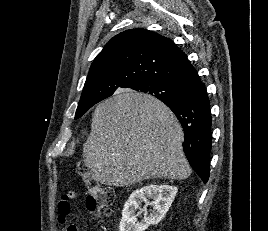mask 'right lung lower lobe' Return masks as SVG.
Here are the masks:
<instances>
[{
  "mask_svg": "<svg viewBox=\"0 0 268 231\" xmlns=\"http://www.w3.org/2000/svg\"><path fill=\"white\" fill-rule=\"evenodd\" d=\"M180 121L185 140L183 149L191 167L204 183L210 173L211 111L204 83L199 81L181 100L163 101Z\"/></svg>",
  "mask_w": 268,
  "mask_h": 231,
  "instance_id": "98d812e1",
  "label": "right lung lower lobe"
}]
</instances>
